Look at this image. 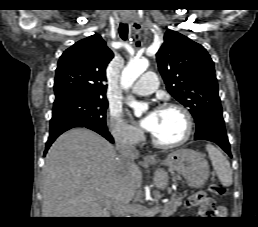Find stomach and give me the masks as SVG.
I'll return each mask as SVG.
<instances>
[{"label": "stomach", "instance_id": "0dacf381", "mask_svg": "<svg viewBox=\"0 0 258 227\" xmlns=\"http://www.w3.org/2000/svg\"><path fill=\"white\" fill-rule=\"evenodd\" d=\"M161 164L182 175L193 188L202 187L209 177V165L205 157L191 149H177L169 153Z\"/></svg>", "mask_w": 258, "mask_h": 227}]
</instances>
